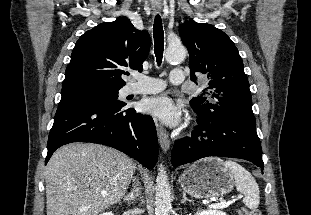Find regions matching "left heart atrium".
Returning <instances> with one entry per match:
<instances>
[{"instance_id":"39dd6f15","label":"left heart atrium","mask_w":311,"mask_h":215,"mask_svg":"<svg viewBox=\"0 0 311 215\" xmlns=\"http://www.w3.org/2000/svg\"><path fill=\"white\" fill-rule=\"evenodd\" d=\"M142 110L168 126L178 125L182 118L181 106L166 95L146 100L142 104Z\"/></svg>"}]
</instances>
